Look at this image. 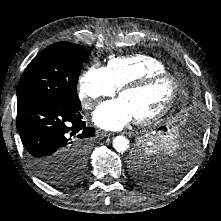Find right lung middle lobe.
<instances>
[{
  "mask_svg": "<svg viewBox=\"0 0 221 221\" xmlns=\"http://www.w3.org/2000/svg\"><path fill=\"white\" fill-rule=\"evenodd\" d=\"M90 53L83 46L69 42H57L45 48L29 63L19 81L17 106L33 99L81 105L77 83ZM89 148L90 140L78 142L64 157L63 165L52 164L38 176L57 187L76 183L83 176Z\"/></svg>",
  "mask_w": 221,
  "mask_h": 221,
  "instance_id": "obj_1",
  "label": "right lung middle lobe"
}]
</instances>
